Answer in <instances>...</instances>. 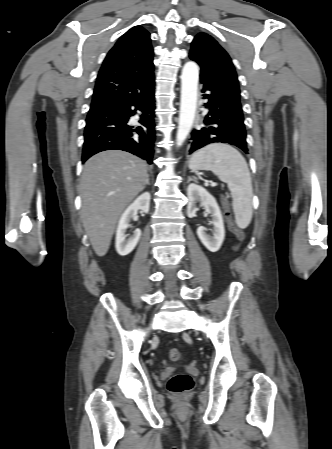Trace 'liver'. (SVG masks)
<instances>
[{
  "label": "liver",
  "mask_w": 332,
  "mask_h": 449,
  "mask_svg": "<svg viewBox=\"0 0 332 449\" xmlns=\"http://www.w3.org/2000/svg\"><path fill=\"white\" fill-rule=\"evenodd\" d=\"M147 176L143 160L120 150L100 152L85 163L79 188L81 219L98 256L108 252L120 215L143 190Z\"/></svg>",
  "instance_id": "6515ba94"
}]
</instances>
